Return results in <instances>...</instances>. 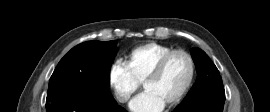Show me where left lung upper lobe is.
<instances>
[{"mask_svg": "<svg viewBox=\"0 0 270 112\" xmlns=\"http://www.w3.org/2000/svg\"><path fill=\"white\" fill-rule=\"evenodd\" d=\"M191 54L198 77L182 103L197 101L212 90H224L220 73L207 54L199 48H192Z\"/></svg>", "mask_w": 270, "mask_h": 112, "instance_id": "1", "label": "left lung upper lobe"}]
</instances>
